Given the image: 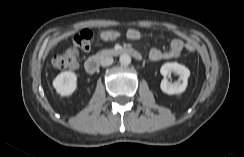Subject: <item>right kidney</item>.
<instances>
[{"label":"right kidney","mask_w":244,"mask_h":157,"mask_svg":"<svg viewBox=\"0 0 244 157\" xmlns=\"http://www.w3.org/2000/svg\"><path fill=\"white\" fill-rule=\"evenodd\" d=\"M56 92L64 97L71 96L77 88V76L73 72H62L53 80Z\"/></svg>","instance_id":"right-kidney-1"}]
</instances>
